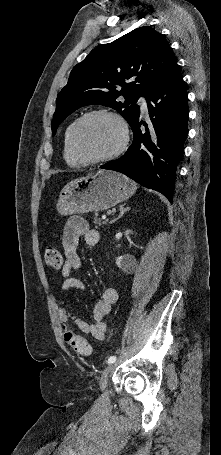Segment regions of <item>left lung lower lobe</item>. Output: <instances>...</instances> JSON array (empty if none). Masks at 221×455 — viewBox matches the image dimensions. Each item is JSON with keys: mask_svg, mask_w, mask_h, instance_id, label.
I'll return each instance as SVG.
<instances>
[{"mask_svg": "<svg viewBox=\"0 0 221 455\" xmlns=\"http://www.w3.org/2000/svg\"><path fill=\"white\" fill-rule=\"evenodd\" d=\"M146 101L152 129L140 120L139 114L131 125V147L122 157L100 168L121 172L171 200L189 117L187 90L177 63L147 94ZM141 125L146 126L145 132Z\"/></svg>", "mask_w": 221, "mask_h": 455, "instance_id": "obj_1", "label": "left lung lower lobe"}]
</instances>
